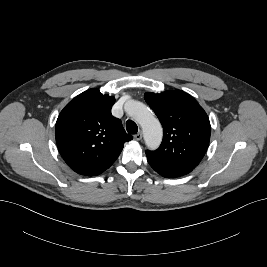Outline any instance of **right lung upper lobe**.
Returning <instances> with one entry per match:
<instances>
[{"instance_id": "obj_1", "label": "right lung upper lobe", "mask_w": 267, "mask_h": 267, "mask_svg": "<svg viewBox=\"0 0 267 267\" xmlns=\"http://www.w3.org/2000/svg\"><path fill=\"white\" fill-rule=\"evenodd\" d=\"M115 98L89 89L72 99L56 122V143L68 166L78 174L96 176L120 155L133 139L111 114Z\"/></svg>"}]
</instances>
